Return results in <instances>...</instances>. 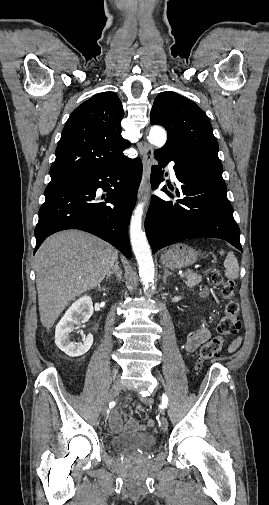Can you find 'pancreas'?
<instances>
[{"label":"pancreas","mask_w":269,"mask_h":505,"mask_svg":"<svg viewBox=\"0 0 269 505\" xmlns=\"http://www.w3.org/2000/svg\"><path fill=\"white\" fill-rule=\"evenodd\" d=\"M186 281L185 284L192 288L201 282L202 277L192 270L187 271L186 273Z\"/></svg>","instance_id":"obj_1"}]
</instances>
